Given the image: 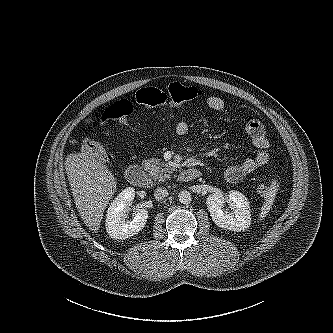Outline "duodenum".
I'll list each match as a JSON object with an SVG mask.
<instances>
[{
    "label": "duodenum",
    "instance_id": "obj_1",
    "mask_svg": "<svg viewBox=\"0 0 333 333\" xmlns=\"http://www.w3.org/2000/svg\"><path fill=\"white\" fill-rule=\"evenodd\" d=\"M125 175L130 184L134 186H151L152 181L147 176L146 172L139 165H130L125 171ZM201 176L200 170L196 168L184 169L179 178L183 182L196 180Z\"/></svg>",
    "mask_w": 333,
    "mask_h": 333
}]
</instances>
